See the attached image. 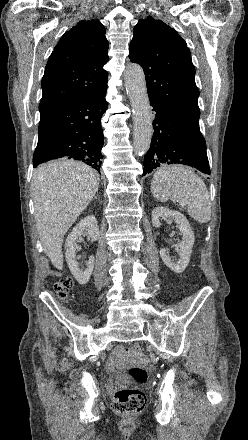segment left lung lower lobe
Wrapping results in <instances>:
<instances>
[{"mask_svg": "<svg viewBox=\"0 0 248 440\" xmlns=\"http://www.w3.org/2000/svg\"><path fill=\"white\" fill-rule=\"evenodd\" d=\"M150 105L156 116L151 146L144 156L143 176L159 166L177 163L209 175L206 142L200 128L162 108L157 101L150 100Z\"/></svg>", "mask_w": 248, "mask_h": 440, "instance_id": "left-lung-lower-lobe-1", "label": "left lung lower lobe"}]
</instances>
